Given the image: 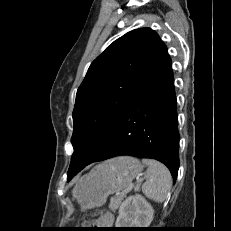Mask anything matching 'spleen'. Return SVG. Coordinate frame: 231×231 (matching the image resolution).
<instances>
[{
  "mask_svg": "<svg viewBox=\"0 0 231 231\" xmlns=\"http://www.w3.org/2000/svg\"><path fill=\"white\" fill-rule=\"evenodd\" d=\"M142 163L148 166L145 172L146 182L142 185L143 194L150 200L163 202L172 185L169 170L156 160L143 159Z\"/></svg>",
  "mask_w": 231,
  "mask_h": 231,
  "instance_id": "obj_1",
  "label": "spleen"
}]
</instances>
